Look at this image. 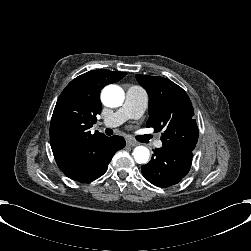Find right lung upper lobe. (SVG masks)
I'll use <instances>...</instances> for the list:
<instances>
[{"label": "right lung upper lobe", "mask_w": 251, "mask_h": 251, "mask_svg": "<svg viewBox=\"0 0 251 251\" xmlns=\"http://www.w3.org/2000/svg\"><path fill=\"white\" fill-rule=\"evenodd\" d=\"M125 75L109 70L89 71L73 79L60 94L51 118L50 144L62 172L88 158L95 145L106 138L88 129L101 112V89Z\"/></svg>", "instance_id": "cb5924a9"}]
</instances>
